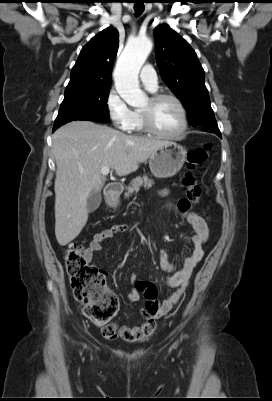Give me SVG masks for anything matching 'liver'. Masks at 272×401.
Instances as JSON below:
<instances>
[{"instance_id":"1","label":"liver","mask_w":272,"mask_h":401,"mask_svg":"<svg viewBox=\"0 0 272 401\" xmlns=\"http://www.w3.org/2000/svg\"><path fill=\"white\" fill-rule=\"evenodd\" d=\"M168 141L126 135L92 121L69 122L53 134L56 161L55 235L61 246L74 240L88 220L87 199L100 191L102 167L119 176L139 168Z\"/></svg>"}]
</instances>
